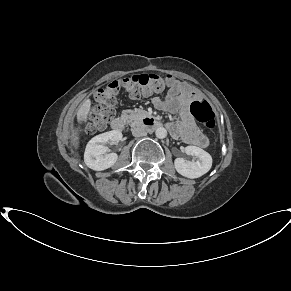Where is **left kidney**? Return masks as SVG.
<instances>
[{
    "label": "left kidney",
    "instance_id": "5707ae66",
    "mask_svg": "<svg viewBox=\"0 0 291 291\" xmlns=\"http://www.w3.org/2000/svg\"><path fill=\"white\" fill-rule=\"evenodd\" d=\"M187 155L195 156L196 161L176 158L174 166L176 171L187 178H198L206 174L212 166V157L209 153L196 146H187L184 149Z\"/></svg>",
    "mask_w": 291,
    "mask_h": 291
}]
</instances>
